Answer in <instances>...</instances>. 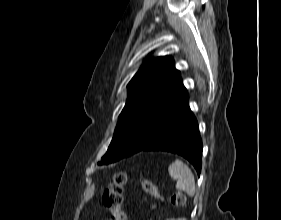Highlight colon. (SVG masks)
I'll list each match as a JSON object with an SVG mask.
<instances>
[{"label":"colon","mask_w":281,"mask_h":220,"mask_svg":"<svg viewBox=\"0 0 281 220\" xmlns=\"http://www.w3.org/2000/svg\"><path fill=\"white\" fill-rule=\"evenodd\" d=\"M126 182L127 172L118 171L114 174L111 183L103 193L102 201L110 212L109 220H126V215L122 209L123 190ZM142 185L146 193L155 198H161L156 185L150 179H143ZM170 201L175 206H183L186 203V197L177 193L171 196Z\"/></svg>","instance_id":"1"}]
</instances>
